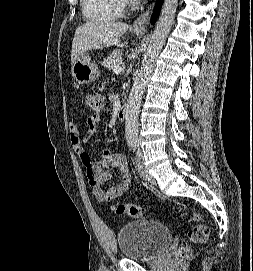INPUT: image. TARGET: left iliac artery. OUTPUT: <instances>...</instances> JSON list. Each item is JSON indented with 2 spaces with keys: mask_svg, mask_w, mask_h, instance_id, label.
I'll return each mask as SVG.
<instances>
[{
  "mask_svg": "<svg viewBox=\"0 0 253 271\" xmlns=\"http://www.w3.org/2000/svg\"><path fill=\"white\" fill-rule=\"evenodd\" d=\"M130 144H131L133 150L135 151L136 146H137V140L131 141Z\"/></svg>",
  "mask_w": 253,
  "mask_h": 271,
  "instance_id": "left-iliac-artery-1",
  "label": "left iliac artery"
}]
</instances>
